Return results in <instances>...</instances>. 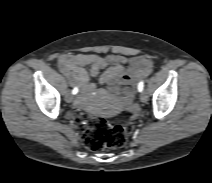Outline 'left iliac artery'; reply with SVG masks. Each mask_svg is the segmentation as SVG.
Segmentation results:
<instances>
[{
	"instance_id": "left-iliac-artery-1",
	"label": "left iliac artery",
	"mask_w": 212,
	"mask_h": 183,
	"mask_svg": "<svg viewBox=\"0 0 212 183\" xmlns=\"http://www.w3.org/2000/svg\"><path fill=\"white\" fill-rule=\"evenodd\" d=\"M144 88V83L143 81H141L139 84H138V90L141 92Z\"/></svg>"
}]
</instances>
